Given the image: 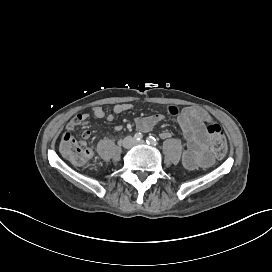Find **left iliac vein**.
Instances as JSON below:
<instances>
[{
	"label": "left iliac vein",
	"instance_id": "4c4485c4",
	"mask_svg": "<svg viewBox=\"0 0 272 272\" xmlns=\"http://www.w3.org/2000/svg\"><path fill=\"white\" fill-rule=\"evenodd\" d=\"M143 144H145V141L134 142V145H143Z\"/></svg>",
	"mask_w": 272,
	"mask_h": 272
}]
</instances>
